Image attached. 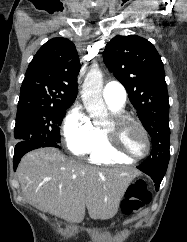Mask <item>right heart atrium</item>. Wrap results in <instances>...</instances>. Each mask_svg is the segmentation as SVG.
I'll return each instance as SVG.
<instances>
[{
  "mask_svg": "<svg viewBox=\"0 0 187 242\" xmlns=\"http://www.w3.org/2000/svg\"><path fill=\"white\" fill-rule=\"evenodd\" d=\"M63 136L68 150L77 156L87 154L99 141V132L79 107L70 110L63 124Z\"/></svg>",
  "mask_w": 187,
  "mask_h": 242,
  "instance_id": "d8ad5b80",
  "label": "right heart atrium"
}]
</instances>
